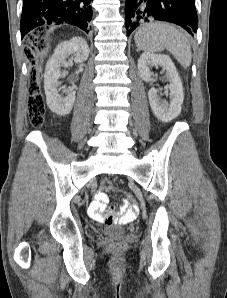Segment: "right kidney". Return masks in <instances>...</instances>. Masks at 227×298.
Returning a JSON list of instances; mask_svg holds the SVG:
<instances>
[{
	"instance_id": "1",
	"label": "right kidney",
	"mask_w": 227,
	"mask_h": 298,
	"mask_svg": "<svg viewBox=\"0 0 227 298\" xmlns=\"http://www.w3.org/2000/svg\"><path fill=\"white\" fill-rule=\"evenodd\" d=\"M70 55L76 63L86 61L89 56L87 42L81 37H73L69 41L58 44L52 57L46 64L44 73V90L47 105L52 112L60 116L68 115L75 102L76 91H70L65 97L58 93V79L63 76L61 67Z\"/></svg>"
}]
</instances>
